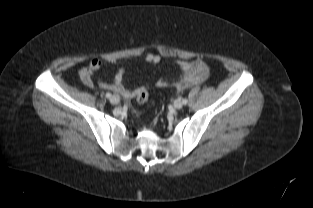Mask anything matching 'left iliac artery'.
<instances>
[{"label": "left iliac artery", "mask_w": 313, "mask_h": 208, "mask_svg": "<svg viewBox=\"0 0 313 208\" xmlns=\"http://www.w3.org/2000/svg\"><path fill=\"white\" fill-rule=\"evenodd\" d=\"M182 102H183V104H187V103H188V100H187L186 98H184V99L182 100Z\"/></svg>", "instance_id": "1"}]
</instances>
